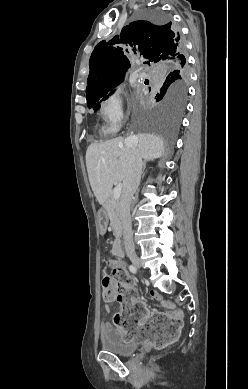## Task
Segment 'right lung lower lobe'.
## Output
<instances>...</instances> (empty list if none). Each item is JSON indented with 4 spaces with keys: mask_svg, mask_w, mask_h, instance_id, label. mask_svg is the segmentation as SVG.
Instances as JSON below:
<instances>
[{
    "mask_svg": "<svg viewBox=\"0 0 248 389\" xmlns=\"http://www.w3.org/2000/svg\"><path fill=\"white\" fill-rule=\"evenodd\" d=\"M175 33H176V32H175ZM176 34H177L176 40H177V41L181 40L180 34H179V33H176ZM181 49H182V46H181V41H180V42H179V45H178V51L180 52Z\"/></svg>",
    "mask_w": 248,
    "mask_h": 389,
    "instance_id": "1",
    "label": "right lung lower lobe"
}]
</instances>
